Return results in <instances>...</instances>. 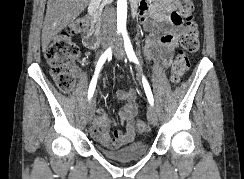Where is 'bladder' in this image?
Returning <instances> with one entry per match:
<instances>
[{
	"instance_id": "obj_1",
	"label": "bladder",
	"mask_w": 244,
	"mask_h": 179,
	"mask_svg": "<svg viewBox=\"0 0 244 179\" xmlns=\"http://www.w3.org/2000/svg\"><path fill=\"white\" fill-rule=\"evenodd\" d=\"M100 151L103 153V155L114 159V160H131V159H137L142 156H144L148 150V145L145 140L138 141L131 143L129 145H126L125 147L115 150V151H109L105 148L100 147Z\"/></svg>"
}]
</instances>
